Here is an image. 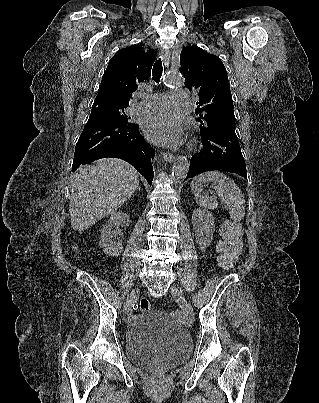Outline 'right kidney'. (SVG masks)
<instances>
[{"mask_svg": "<svg viewBox=\"0 0 319 403\" xmlns=\"http://www.w3.org/2000/svg\"><path fill=\"white\" fill-rule=\"evenodd\" d=\"M130 222L127 214L117 212L102 227L99 245L107 256H117L123 251L122 234L114 232L113 229L116 225L127 227Z\"/></svg>", "mask_w": 319, "mask_h": 403, "instance_id": "ca27d5eb", "label": "right kidney"}]
</instances>
